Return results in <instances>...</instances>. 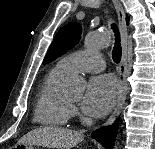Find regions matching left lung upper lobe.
Masks as SVG:
<instances>
[{"label": "left lung upper lobe", "instance_id": "obj_1", "mask_svg": "<svg viewBox=\"0 0 155 149\" xmlns=\"http://www.w3.org/2000/svg\"><path fill=\"white\" fill-rule=\"evenodd\" d=\"M81 32V26L76 23H70L61 28L54 37L43 64L52 62L57 57L66 53L67 50L74 47L79 42Z\"/></svg>", "mask_w": 155, "mask_h": 149}]
</instances>
